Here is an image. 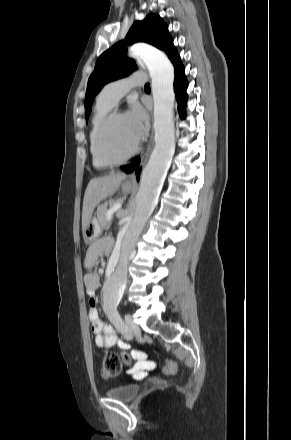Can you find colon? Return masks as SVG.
Returning a JSON list of instances; mask_svg holds the SVG:
<instances>
[{
	"label": "colon",
	"mask_w": 291,
	"mask_h": 440,
	"mask_svg": "<svg viewBox=\"0 0 291 440\" xmlns=\"http://www.w3.org/2000/svg\"><path fill=\"white\" fill-rule=\"evenodd\" d=\"M122 362L130 363V358L127 354H122V356L115 353L106 354L101 369L102 376L107 379L117 377L121 372ZM174 371L175 362L167 360L163 372L165 374H172Z\"/></svg>",
	"instance_id": "colon-1"
}]
</instances>
